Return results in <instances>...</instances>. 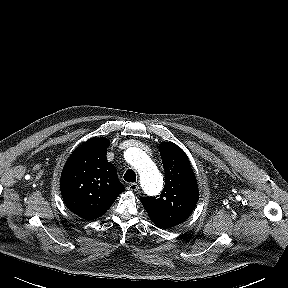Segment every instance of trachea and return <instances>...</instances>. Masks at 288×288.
I'll list each match as a JSON object with an SVG mask.
<instances>
[{
    "instance_id": "3493384b",
    "label": "trachea",
    "mask_w": 288,
    "mask_h": 288,
    "mask_svg": "<svg viewBox=\"0 0 288 288\" xmlns=\"http://www.w3.org/2000/svg\"><path fill=\"white\" fill-rule=\"evenodd\" d=\"M124 180L127 182H135L136 181V174L132 169H128L123 176Z\"/></svg>"
}]
</instances>
